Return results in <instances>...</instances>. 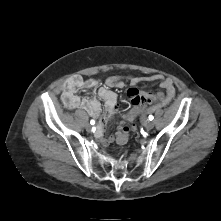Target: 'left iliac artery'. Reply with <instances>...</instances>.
I'll list each match as a JSON object with an SVG mask.
<instances>
[{"instance_id": "1", "label": "left iliac artery", "mask_w": 221, "mask_h": 221, "mask_svg": "<svg viewBox=\"0 0 221 221\" xmlns=\"http://www.w3.org/2000/svg\"><path fill=\"white\" fill-rule=\"evenodd\" d=\"M149 120H153L154 119V117H153V115H149Z\"/></svg>"}]
</instances>
